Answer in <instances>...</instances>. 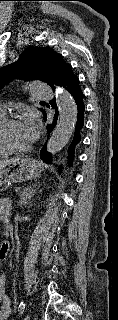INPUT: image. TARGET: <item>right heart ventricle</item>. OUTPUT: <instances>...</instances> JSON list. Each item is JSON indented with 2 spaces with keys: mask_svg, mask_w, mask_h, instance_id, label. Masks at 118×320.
Returning a JSON list of instances; mask_svg holds the SVG:
<instances>
[{
  "mask_svg": "<svg viewBox=\"0 0 118 320\" xmlns=\"http://www.w3.org/2000/svg\"><path fill=\"white\" fill-rule=\"evenodd\" d=\"M4 118V113L0 111V121ZM9 154L7 150H5L1 145H0V157H5Z\"/></svg>",
  "mask_w": 118,
  "mask_h": 320,
  "instance_id": "1",
  "label": "right heart ventricle"
}]
</instances>
